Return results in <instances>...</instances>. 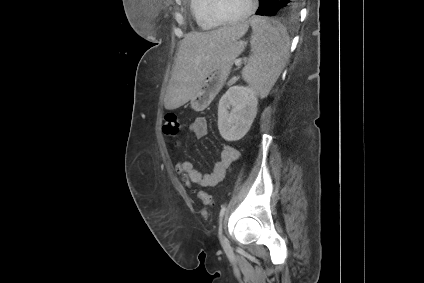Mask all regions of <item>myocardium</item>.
Wrapping results in <instances>:
<instances>
[{
    "mask_svg": "<svg viewBox=\"0 0 424 283\" xmlns=\"http://www.w3.org/2000/svg\"><path fill=\"white\" fill-rule=\"evenodd\" d=\"M218 0H207V13L210 19L219 25H232L247 20L257 8V0H250L249 8L245 13L236 18H224L217 8Z\"/></svg>",
    "mask_w": 424,
    "mask_h": 283,
    "instance_id": "f54148a6",
    "label": "myocardium"
}]
</instances>
